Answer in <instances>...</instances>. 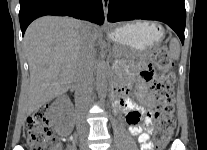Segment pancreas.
I'll return each instance as SVG.
<instances>
[{
	"instance_id": "obj_1",
	"label": "pancreas",
	"mask_w": 207,
	"mask_h": 150,
	"mask_svg": "<svg viewBox=\"0 0 207 150\" xmlns=\"http://www.w3.org/2000/svg\"><path fill=\"white\" fill-rule=\"evenodd\" d=\"M115 51H116L117 54H119L120 51H121V49H118V48H117ZM136 58H141V57H140V56H137Z\"/></svg>"
}]
</instances>
